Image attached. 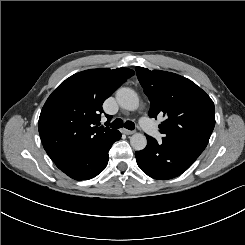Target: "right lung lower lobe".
I'll list each match as a JSON object with an SVG mask.
<instances>
[{
  "mask_svg": "<svg viewBox=\"0 0 245 245\" xmlns=\"http://www.w3.org/2000/svg\"><path fill=\"white\" fill-rule=\"evenodd\" d=\"M120 138L121 133L115 130L99 142L75 149L56 166L77 181L94 178L107 166L108 152L112 144Z\"/></svg>",
  "mask_w": 245,
  "mask_h": 245,
  "instance_id": "obj_1",
  "label": "right lung lower lobe"
}]
</instances>
